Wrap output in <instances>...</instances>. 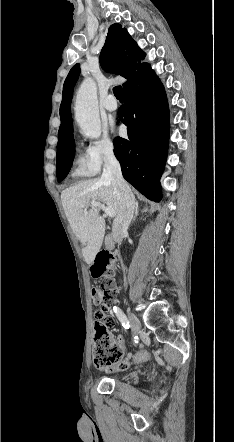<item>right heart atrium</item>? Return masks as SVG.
<instances>
[{
    "instance_id": "obj_1",
    "label": "right heart atrium",
    "mask_w": 234,
    "mask_h": 442,
    "mask_svg": "<svg viewBox=\"0 0 234 442\" xmlns=\"http://www.w3.org/2000/svg\"><path fill=\"white\" fill-rule=\"evenodd\" d=\"M115 152V143L107 136L91 142L86 148V155L96 172H98L105 163L115 157Z\"/></svg>"
}]
</instances>
